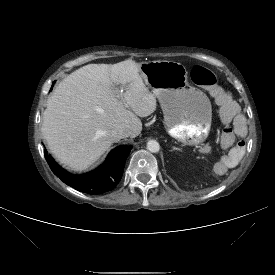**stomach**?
Returning <instances> with one entry per match:
<instances>
[{
  "mask_svg": "<svg viewBox=\"0 0 275 275\" xmlns=\"http://www.w3.org/2000/svg\"><path fill=\"white\" fill-rule=\"evenodd\" d=\"M146 85L158 99L168 134L186 145H198L210 133L212 108L209 98L188 83V72L178 62L140 63Z\"/></svg>",
  "mask_w": 275,
  "mask_h": 275,
  "instance_id": "obj_1",
  "label": "stomach"
}]
</instances>
